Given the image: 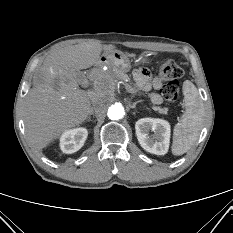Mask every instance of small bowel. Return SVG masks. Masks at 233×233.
Listing matches in <instances>:
<instances>
[{
  "label": "small bowel",
  "mask_w": 233,
  "mask_h": 233,
  "mask_svg": "<svg viewBox=\"0 0 233 233\" xmlns=\"http://www.w3.org/2000/svg\"><path fill=\"white\" fill-rule=\"evenodd\" d=\"M133 76L140 89L150 92L152 103L160 104L162 102V98L158 93L162 83L158 78L153 77L150 71L145 68L136 69Z\"/></svg>",
  "instance_id": "small-bowel-1"
}]
</instances>
